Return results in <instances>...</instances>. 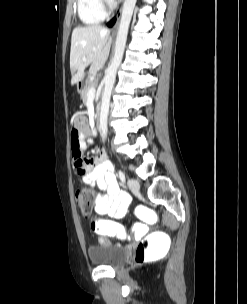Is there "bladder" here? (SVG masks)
I'll list each match as a JSON object with an SVG mask.
<instances>
[{
	"label": "bladder",
	"instance_id": "31cf9c89",
	"mask_svg": "<svg viewBox=\"0 0 247 304\" xmlns=\"http://www.w3.org/2000/svg\"><path fill=\"white\" fill-rule=\"evenodd\" d=\"M90 262L95 266L117 268L128 257V249L118 244H101L88 249Z\"/></svg>",
	"mask_w": 247,
	"mask_h": 304
}]
</instances>
